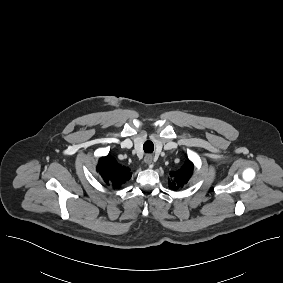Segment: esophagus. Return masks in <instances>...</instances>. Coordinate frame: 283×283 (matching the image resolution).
Segmentation results:
<instances>
[{"label":"esophagus","mask_w":283,"mask_h":283,"mask_svg":"<svg viewBox=\"0 0 283 283\" xmlns=\"http://www.w3.org/2000/svg\"><path fill=\"white\" fill-rule=\"evenodd\" d=\"M144 162L149 165V166H152L153 164V156L151 154H147L145 157H144Z\"/></svg>","instance_id":"34e87169"}]
</instances>
